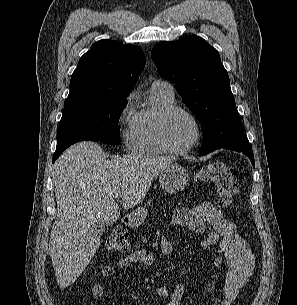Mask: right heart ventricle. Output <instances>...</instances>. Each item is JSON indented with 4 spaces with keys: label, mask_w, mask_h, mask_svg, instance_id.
<instances>
[{
    "label": "right heart ventricle",
    "mask_w": 297,
    "mask_h": 305,
    "mask_svg": "<svg viewBox=\"0 0 297 305\" xmlns=\"http://www.w3.org/2000/svg\"><path fill=\"white\" fill-rule=\"evenodd\" d=\"M150 100V106L143 108L136 114V126L131 140V148L134 153H165L157 142L155 125L161 111L175 106V98L160 89L151 88Z\"/></svg>",
    "instance_id": "e07e8e85"
}]
</instances>
